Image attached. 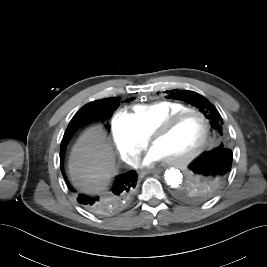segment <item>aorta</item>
<instances>
[{"instance_id": "1", "label": "aorta", "mask_w": 267, "mask_h": 267, "mask_svg": "<svg viewBox=\"0 0 267 267\" xmlns=\"http://www.w3.org/2000/svg\"><path fill=\"white\" fill-rule=\"evenodd\" d=\"M164 179L169 186L176 188L183 181V173L179 169L172 167L165 171Z\"/></svg>"}]
</instances>
